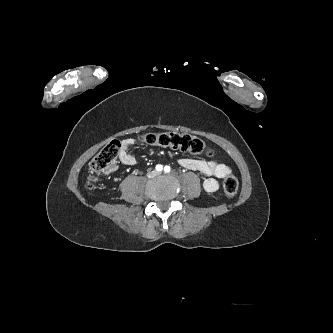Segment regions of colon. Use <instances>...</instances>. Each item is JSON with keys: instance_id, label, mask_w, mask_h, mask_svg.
<instances>
[{"instance_id": "obj_1", "label": "colon", "mask_w": 333, "mask_h": 333, "mask_svg": "<svg viewBox=\"0 0 333 333\" xmlns=\"http://www.w3.org/2000/svg\"><path fill=\"white\" fill-rule=\"evenodd\" d=\"M140 140L148 145L168 147L189 152L195 155H205L211 157L213 151L207 144L192 135L176 132L149 133L143 135ZM120 151V142L111 141L107 144L90 162L92 173L109 172L116 168L117 157ZM95 178L92 176L88 181V188L94 185ZM239 184L237 178L230 172L223 181L224 194L228 198H233L238 192Z\"/></svg>"}]
</instances>
